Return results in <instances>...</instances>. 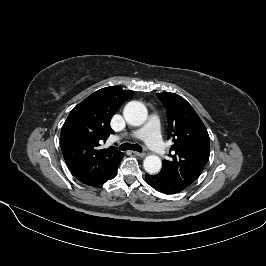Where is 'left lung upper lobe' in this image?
I'll return each mask as SVG.
<instances>
[{
    "instance_id": "1",
    "label": "left lung upper lobe",
    "mask_w": 266,
    "mask_h": 266,
    "mask_svg": "<svg viewBox=\"0 0 266 266\" xmlns=\"http://www.w3.org/2000/svg\"><path fill=\"white\" fill-rule=\"evenodd\" d=\"M156 96L166 108L168 138L174 142L168 154L171 158L163 160L160 174L188 187L200 176L209 160L208 132L195 110L183 97L170 92Z\"/></svg>"
}]
</instances>
